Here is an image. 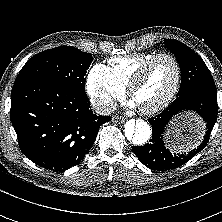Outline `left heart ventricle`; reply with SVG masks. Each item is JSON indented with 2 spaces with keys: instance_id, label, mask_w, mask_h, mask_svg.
<instances>
[{
  "instance_id": "b2bd125f",
  "label": "left heart ventricle",
  "mask_w": 222,
  "mask_h": 222,
  "mask_svg": "<svg viewBox=\"0 0 222 222\" xmlns=\"http://www.w3.org/2000/svg\"><path fill=\"white\" fill-rule=\"evenodd\" d=\"M175 80V66L169 59L155 61L147 70L143 80L133 93L139 107H150L159 103L170 91Z\"/></svg>"
}]
</instances>
